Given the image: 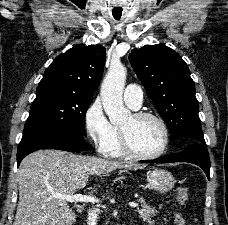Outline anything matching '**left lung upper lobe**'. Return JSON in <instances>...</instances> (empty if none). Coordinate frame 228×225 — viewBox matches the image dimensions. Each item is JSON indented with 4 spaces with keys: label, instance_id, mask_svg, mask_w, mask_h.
I'll use <instances>...</instances> for the list:
<instances>
[{
    "label": "left lung upper lobe",
    "instance_id": "obj_1",
    "mask_svg": "<svg viewBox=\"0 0 228 225\" xmlns=\"http://www.w3.org/2000/svg\"><path fill=\"white\" fill-rule=\"evenodd\" d=\"M129 61L146 88L172 139L205 140L198 116L195 84L185 61L173 49L156 44L133 49Z\"/></svg>",
    "mask_w": 228,
    "mask_h": 225
}]
</instances>
